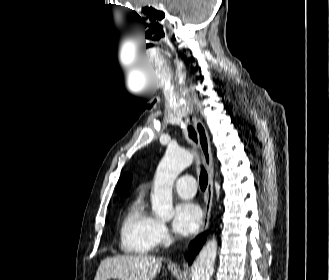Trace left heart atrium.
I'll return each instance as SVG.
<instances>
[{
	"label": "left heart atrium",
	"instance_id": "obj_1",
	"mask_svg": "<svg viewBox=\"0 0 329 280\" xmlns=\"http://www.w3.org/2000/svg\"><path fill=\"white\" fill-rule=\"evenodd\" d=\"M201 221L202 211L197 204L183 201L175 206L172 225L179 235L187 236L196 232Z\"/></svg>",
	"mask_w": 329,
	"mask_h": 280
}]
</instances>
